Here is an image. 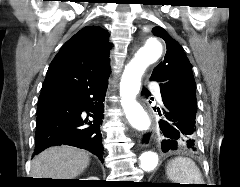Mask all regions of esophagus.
Returning a JSON list of instances; mask_svg holds the SVG:
<instances>
[{
  "mask_svg": "<svg viewBox=\"0 0 240 187\" xmlns=\"http://www.w3.org/2000/svg\"><path fill=\"white\" fill-rule=\"evenodd\" d=\"M138 143H139V146H140V147H146V146L148 145L147 140H146V139H143V137L140 138V140L138 141Z\"/></svg>",
  "mask_w": 240,
  "mask_h": 187,
  "instance_id": "34e87169",
  "label": "esophagus"
}]
</instances>
